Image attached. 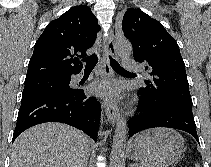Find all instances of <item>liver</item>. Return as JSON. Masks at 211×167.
<instances>
[{
	"mask_svg": "<svg viewBox=\"0 0 211 167\" xmlns=\"http://www.w3.org/2000/svg\"><path fill=\"white\" fill-rule=\"evenodd\" d=\"M91 140L80 130L61 123H43L15 140L10 167H84Z\"/></svg>",
	"mask_w": 211,
	"mask_h": 167,
	"instance_id": "liver-1",
	"label": "liver"
}]
</instances>
